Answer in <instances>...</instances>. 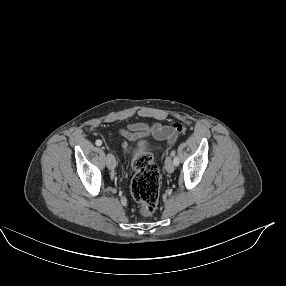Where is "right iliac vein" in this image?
I'll return each mask as SVG.
<instances>
[{
	"mask_svg": "<svg viewBox=\"0 0 286 286\" xmlns=\"http://www.w3.org/2000/svg\"><path fill=\"white\" fill-rule=\"evenodd\" d=\"M107 167L113 170L116 167V160L112 154H107Z\"/></svg>",
	"mask_w": 286,
	"mask_h": 286,
	"instance_id": "obj_1",
	"label": "right iliac vein"
}]
</instances>
